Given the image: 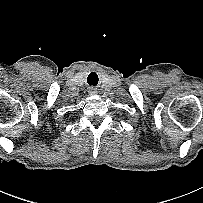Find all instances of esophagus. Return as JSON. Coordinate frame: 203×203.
Segmentation results:
<instances>
[{
    "instance_id": "34e87169",
    "label": "esophagus",
    "mask_w": 203,
    "mask_h": 203,
    "mask_svg": "<svg viewBox=\"0 0 203 203\" xmlns=\"http://www.w3.org/2000/svg\"><path fill=\"white\" fill-rule=\"evenodd\" d=\"M96 93H97L96 89H94V88L89 89V94L90 95H95Z\"/></svg>"
}]
</instances>
